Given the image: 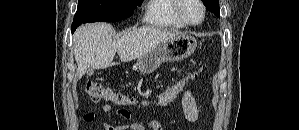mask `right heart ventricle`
<instances>
[{"mask_svg":"<svg viewBox=\"0 0 299 130\" xmlns=\"http://www.w3.org/2000/svg\"><path fill=\"white\" fill-rule=\"evenodd\" d=\"M176 0H151L148 2L145 22L154 27L169 29H184L183 24L176 15Z\"/></svg>","mask_w":299,"mask_h":130,"instance_id":"e07e8e85","label":"right heart ventricle"}]
</instances>
